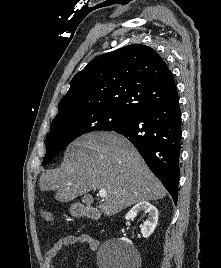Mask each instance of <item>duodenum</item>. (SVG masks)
<instances>
[{"label":"duodenum","mask_w":221,"mask_h":268,"mask_svg":"<svg viewBox=\"0 0 221 268\" xmlns=\"http://www.w3.org/2000/svg\"><path fill=\"white\" fill-rule=\"evenodd\" d=\"M87 215L90 216V217H92V218H96L97 217L96 212L93 211V210L87 211Z\"/></svg>","instance_id":"410a0bca"}]
</instances>
